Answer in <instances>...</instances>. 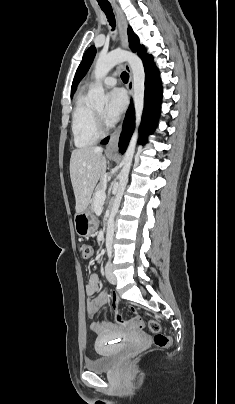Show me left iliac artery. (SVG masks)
Listing matches in <instances>:
<instances>
[{
    "label": "left iliac artery",
    "instance_id": "left-iliac-artery-1",
    "mask_svg": "<svg viewBox=\"0 0 235 404\" xmlns=\"http://www.w3.org/2000/svg\"><path fill=\"white\" fill-rule=\"evenodd\" d=\"M107 253H108V256L111 257L112 249L110 247L107 249Z\"/></svg>",
    "mask_w": 235,
    "mask_h": 404
}]
</instances>
